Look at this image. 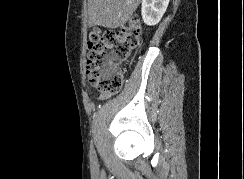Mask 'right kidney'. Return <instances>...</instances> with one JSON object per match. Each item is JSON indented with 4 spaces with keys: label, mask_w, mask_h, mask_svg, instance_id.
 <instances>
[{
    "label": "right kidney",
    "mask_w": 244,
    "mask_h": 179,
    "mask_svg": "<svg viewBox=\"0 0 244 179\" xmlns=\"http://www.w3.org/2000/svg\"><path fill=\"white\" fill-rule=\"evenodd\" d=\"M170 0H142L141 16L147 26H156L167 10Z\"/></svg>",
    "instance_id": "1"
}]
</instances>
